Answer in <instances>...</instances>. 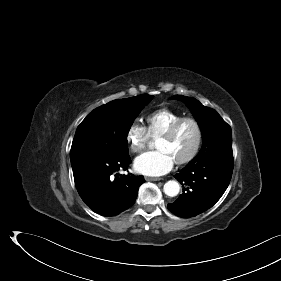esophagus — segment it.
<instances>
[{"label":"esophagus","instance_id":"1","mask_svg":"<svg viewBox=\"0 0 281 281\" xmlns=\"http://www.w3.org/2000/svg\"><path fill=\"white\" fill-rule=\"evenodd\" d=\"M162 178H158V177H146L145 180L146 181H160Z\"/></svg>","mask_w":281,"mask_h":281}]
</instances>
